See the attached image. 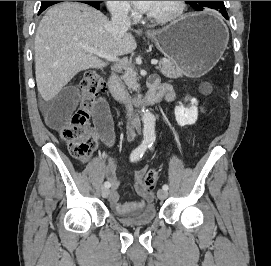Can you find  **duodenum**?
Returning <instances> with one entry per match:
<instances>
[{"label":"duodenum","mask_w":271,"mask_h":266,"mask_svg":"<svg viewBox=\"0 0 271 266\" xmlns=\"http://www.w3.org/2000/svg\"><path fill=\"white\" fill-rule=\"evenodd\" d=\"M167 85V84H166ZM109 91L112 96L117 101L128 100L129 97L125 93L123 86L118 78V75L113 73L108 81ZM168 93L167 87H164L160 84H151L148 94L143 99L137 100V103L140 106L150 105L156 103L161 97L165 96Z\"/></svg>","instance_id":"1"}]
</instances>
